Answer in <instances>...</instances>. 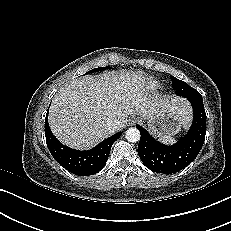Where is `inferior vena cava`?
<instances>
[{
	"instance_id": "inferior-vena-cava-1",
	"label": "inferior vena cava",
	"mask_w": 231,
	"mask_h": 231,
	"mask_svg": "<svg viewBox=\"0 0 231 231\" xmlns=\"http://www.w3.org/2000/svg\"><path fill=\"white\" fill-rule=\"evenodd\" d=\"M123 125L124 124L121 120L114 119L108 123V129L112 132H117L123 127Z\"/></svg>"
}]
</instances>
